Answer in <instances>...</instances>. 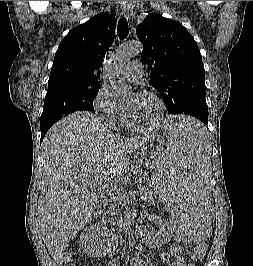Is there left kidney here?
Returning <instances> with one entry per match:
<instances>
[{"instance_id":"left-kidney-1","label":"left kidney","mask_w":253,"mask_h":266,"mask_svg":"<svg viewBox=\"0 0 253 266\" xmlns=\"http://www.w3.org/2000/svg\"><path fill=\"white\" fill-rule=\"evenodd\" d=\"M151 221L159 227V230L153 234H149L146 229L142 226L139 229V234L142 242L148 247H159L167 243L170 240V228L168 223L160 216H151Z\"/></svg>"}]
</instances>
